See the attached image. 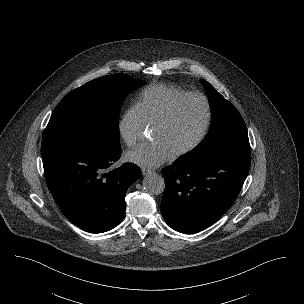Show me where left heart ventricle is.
Returning a JSON list of instances; mask_svg holds the SVG:
<instances>
[{
    "mask_svg": "<svg viewBox=\"0 0 304 304\" xmlns=\"http://www.w3.org/2000/svg\"><path fill=\"white\" fill-rule=\"evenodd\" d=\"M205 120L204 103L197 98L182 103L164 126L153 128L152 140L164 143L173 154L191 144Z\"/></svg>",
    "mask_w": 304,
    "mask_h": 304,
    "instance_id": "obj_1",
    "label": "left heart ventricle"
}]
</instances>
